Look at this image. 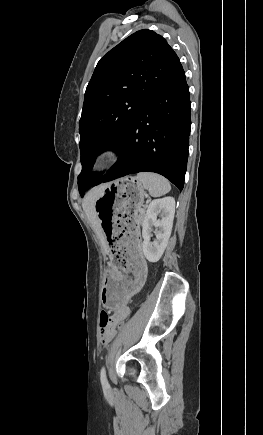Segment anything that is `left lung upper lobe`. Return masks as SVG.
<instances>
[{"instance_id":"left-lung-upper-lobe-1","label":"left lung upper lobe","mask_w":263,"mask_h":435,"mask_svg":"<svg viewBox=\"0 0 263 435\" xmlns=\"http://www.w3.org/2000/svg\"><path fill=\"white\" fill-rule=\"evenodd\" d=\"M179 65L167 41L148 29L130 35L98 62L79 122L82 197L100 178L91 173L96 157L108 147L121 148L139 112Z\"/></svg>"}]
</instances>
